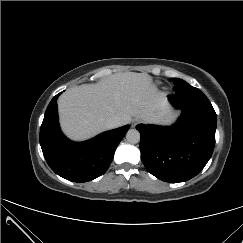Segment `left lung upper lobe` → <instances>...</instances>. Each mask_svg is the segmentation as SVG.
<instances>
[{"label": "left lung upper lobe", "mask_w": 243, "mask_h": 243, "mask_svg": "<svg viewBox=\"0 0 243 243\" xmlns=\"http://www.w3.org/2000/svg\"><path fill=\"white\" fill-rule=\"evenodd\" d=\"M172 80H173V83L175 84V91L183 89L189 85L185 81L178 79V78H173ZM201 98H202L201 101L198 102V104H197V108L213 110V107H212L210 101L202 92H201Z\"/></svg>", "instance_id": "5c2ea615"}]
</instances>
